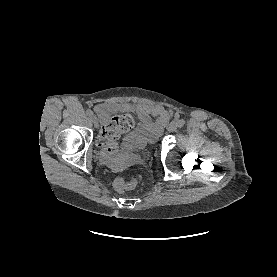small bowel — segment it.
<instances>
[{
    "mask_svg": "<svg viewBox=\"0 0 277 277\" xmlns=\"http://www.w3.org/2000/svg\"><path fill=\"white\" fill-rule=\"evenodd\" d=\"M125 108L136 111L140 114L143 120H146L149 115H153L158 127L164 126L170 117V112L162 106L135 104L126 105ZM107 110L108 106L106 104H100L97 106V111L101 112L103 120L106 119Z\"/></svg>",
    "mask_w": 277,
    "mask_h": 277,
    "instance_id": "obj_1",
    "label": "small bowel"
}]
</instances>
